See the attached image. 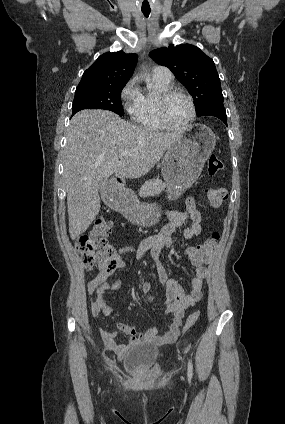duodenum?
<instances>
[{
	"label": "duodenum",
	"mask_w": 285,
	"mask_h": 424,
	"mask_svg": "<svg viewBox=\"0 0 285 424\" xmlns=\"http://www.w3.org/2000/svg\"><path fill=\"white\" fill-rule=\"evenodd\" d=\"M123 186V180L119 177L113 179V188L118 189Z\"/></svg>",
	"instance_id": "1"
}]
</instances>
